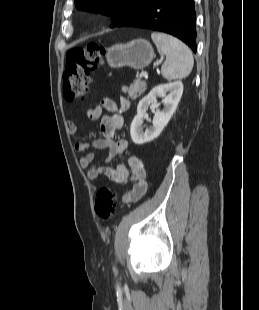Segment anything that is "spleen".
Returning <instances> with one entry per match:
<instances>
[{
  "label": "spleen",
  "mask_w": 259,
  "mask_h": 310,
  "mask_svg": "<svg viewBox=\"0 0 259 310\" xmlns=\"http://www.w3.org/2000/svg\"><path fill=\"white\" fill-rule=\"evenodd\" d=\"M151 38L158 52L166 56V61L161 67V73L165 79H183L191 73L194 65L193 55L183 42L159 32H153Z\"/></svg>",
  "instance_id": "1"
}]
</instances>
